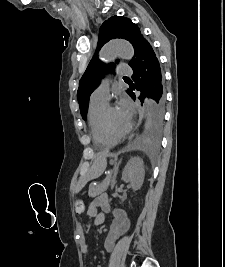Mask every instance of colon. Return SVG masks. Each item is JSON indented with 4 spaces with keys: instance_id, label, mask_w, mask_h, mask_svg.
I'll use <instances>...</instances> for the list:
<instances>
[{
    "instance_id": "5ec220e1",
    "label": "colon",
    "mask_w": 225,
    "mask_h": 267,
    "mask_svg": "<svg viewBox=\"0 0 225 267\" xmlns=\"http://www.w3.org/2000/svg\"><path fill=\"white\" fill-rule=\"evenodd\" d=\"M74 210L77 214H81L84 211V202L81 199H77L74 202Z\"/></svg>"
}]
</instances>
